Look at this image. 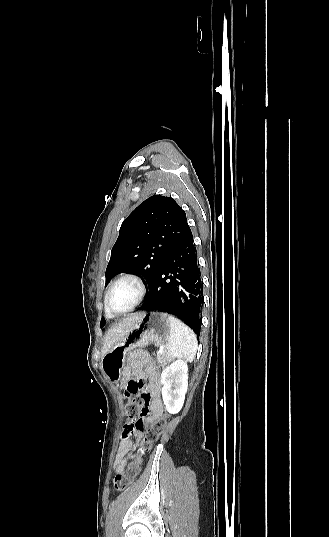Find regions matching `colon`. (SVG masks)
Wrapping results in <instances>:
<instances>
[{"mask_svg": "<svg viewBox=\"0 0 329 537\" xmlns=\"http://www.w3.org/2000/svg\"><path fill=\"white\" fill-rule=\"evenodd\" d=\"M148 401L149 395L144 391L136 397L130 396L126 399V426L139 431L142 435V440L138 449L140 456L124 472L113 479V487L116 491H124L134 482L140 470L142 455L150 450L166 427V416L161 417L150 426L145 425L142 416L146 414Z\"/></svg>", "mask_w": 329, "mask_h": 537, "instance_id": "colon-1", "label": "colon"}]
</instances>
